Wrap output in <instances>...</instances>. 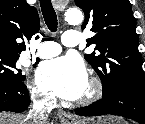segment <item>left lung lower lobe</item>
Masks as SVG:
<instances>
[{"instance_id": "left-lung-lower-lobe-1", "label": "left lung lower lobe", "mask_w": 145, "mask_h": 124, "mask_svg": "<svg viewBox=\"0 0 145 124\" xmlns=\"http://www.w3.org/2000/svg\"><path fill=\"white\" fill-rule=\"evenodd\" d=\"M80 116L118 115L145 124V90L122 86L98 102L75 110Z\"/></svg>"}]
</instances>
